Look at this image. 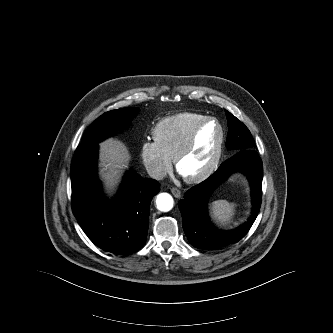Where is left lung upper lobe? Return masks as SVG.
Returning <instances> with one entry per match:
<instances>
[{"label":"left lung upper lobe","instance_id":"1","mask_svg":"<svg viewBox=\"0 0 333 333\" xmlns=\"http://www.w3.org/2000/svg\"><path fill=\"white\" fill-rule=\"evenodd\" d=\"M229 131L226 146L230 150L253 149L255 142L248 128L230 112L226 111Z\"/></svg>","mask_w":333,"mask_h":333}]
</instances>
